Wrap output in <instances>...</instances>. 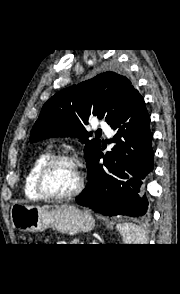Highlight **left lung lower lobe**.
Returning <instances> with one entry per match:
<instances>
[{
    "label": "left lung lower lobe",
    "mask_w": 180,
    "mask_h": 294,
    "mask_svg": "<svg viewBox=\"0 0 180 294\" xmlns=\"http://www.w3.org/2000/svg\"><path fill=\"white\" fill-rule=\"evenodd\" d=\"M149 124L144 99L138 92L110 124L116 131L110 140L116 143L112 151L103 154L100 147L88 165V183L76 198L78 204L108 216L146 214L143 180L153 170L154 157ZM100 158L103 164H99Z\"/></svg>",
    "instance_id": "left-lung-lower-lobe-1"
}]
</instances>
